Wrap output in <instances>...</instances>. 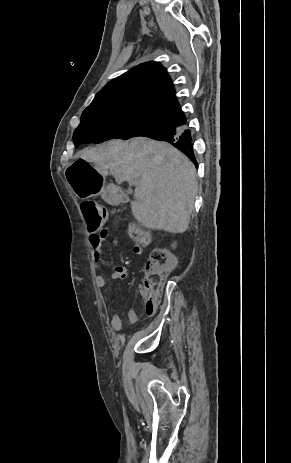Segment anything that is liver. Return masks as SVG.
I'll use <instances>...</instances> for the list:
<instances>
[{
  "label": "liver",
  "mask_w": 291,
  "mask_h": 463,
  "mask_svg": "<svg viewBox=\"0 0 291 463\" xmlns=\"http://www.w3.org/2000/svg\"><path fill=\"white\" fill-rule=\"evenodd\" d=\"M77 157L93 163L105 177L135 185L131 210L144 227L185 232L190 223L198 184L191 161L172 145L145 137L111 140L84 149Z\"/></svg>",
  "instance_id": "obj_1"
}]
</instances>
